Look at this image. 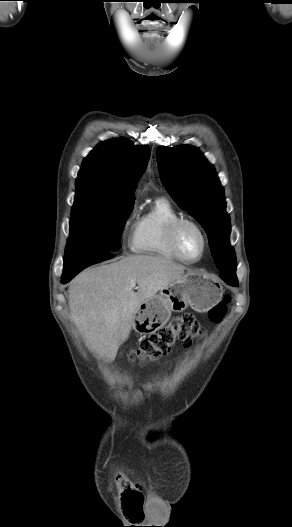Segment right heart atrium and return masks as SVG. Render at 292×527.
Segmentation results:
<instances>
[{"mask_svg": "<svg viewBox=\"0 0 292 527\" xmlns=\"http://www.w3.org/2000/svg\"><path fill=\"white\" fill-rule=\"evenodd\" d=\"M132 212H130L127 217L125 218L124 224H123V234L125 235L127 233V230L129 228L130 220H131Z\"/></svg>", "mask_w": 292, "mask_h": 527, "instance_id": "right-heart-atrium-1", "label": "right heart atrium"}]
</instances>
